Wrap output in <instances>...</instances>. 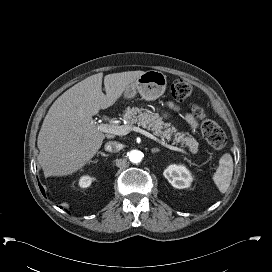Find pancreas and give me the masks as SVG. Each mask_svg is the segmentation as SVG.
Returning <instances> with one entry per match:
<instances>
[{
	"label": "pancreas",
	"instance_id": "pancreas-1",
	"mask_svg": "<svg viewBox=\"0 0 272 272\" xmlns=\"http://www.w3.org/2000/svg\"><path fill=\"white\" fill-rule=\"evenodd\" d=\"M123 120L126 121L128 126L137 124L150 131H153L156 135H161L166 139L170 140L172 134H174V142H181L182 145H186L190 148V151L197 153L198 142L192 136H185L176 132L174 127L166 128L167 125L159 118L157 114L152 113L148 109L138 108V107H127L123 114Z\"/></svg>",
	"mask_w": 272,
	"mask_h": 272
}]
</instances>
